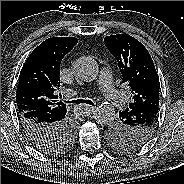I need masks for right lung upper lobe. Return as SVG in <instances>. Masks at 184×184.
Wrapping results in <instances>:
<instances>
[{"label":"right lung upper lobe","instance_id":"obj_1","mask_svg":"<svg viewBox=\"0 0 184 184\" xmlns=\"http://www.w3.org/2000/svg\"><path fill=\"white\" fill-rule=\"evenodd\" d=\"M75 37L48 38L37 46L25 61L16 91L18 113L41 111L50 115L66 114V105L57 102L60 64L73 49Z\"/></svg>","mask_w":184,"mask_h":184}]
</instances>
